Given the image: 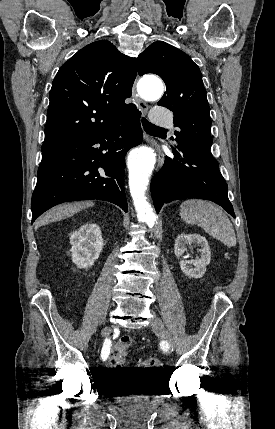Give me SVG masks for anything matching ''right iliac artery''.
<instances>
[{
  "label": "right iliac artery",
  "mask_w": 275,
  "mask_h": 429,
  "mask_svg": "<svg viewBox=\"0 0 275 429\" xmlns=\"http://www.w3.org/2000/svg\"><path fill=\"white\" fill-rule=\"evenodd\" d=\"M110 347H111V340L110 339H105L104 344H103V348L101 351V358L103 360H106L108 358L109 352H110Z\"/></svg>",
  "instance_id": "1"
}]
</instances>
